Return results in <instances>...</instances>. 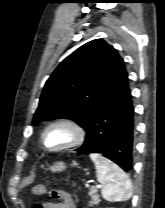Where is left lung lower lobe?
I'll return each instance as SVG.
<instances>
[{
  "label": "left lung lower lobe",
  "mask_w": 165,
  "mask_h": 208,
  "mask_svg": "<svg viewBox=\"0 0 165 208\" xmlns=\"http://www.w3.org/2000/svg\"><path fill=\"white\" fill-rule=\"evenodd\" d=\"M80 153H101L124 171L133 168L135 138L134 107L124 68L96 108Z\"/></svg>",
  "instance_id": "obj_1"
}]
</instances>
